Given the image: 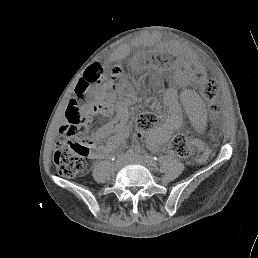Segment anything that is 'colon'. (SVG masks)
<instances>
[{"label": "colon", "mask_w": 258, "mask_h": 258, "mask_svg": "<svg viewBox=\"0 0 258 258\" xmlns=\"http://www.w3.org/2000/svg\"><path fill=\"white\" fill-rule=\"evenodd\" d=\"M103 72L100 64H92L79 81L75 98L67 107L66 123L60 127L62 140L57 143L53 155L57 170L63 177L71 178L81 173L86 167V158L100 143L99 133L89 128L81 107L87 89L101 79ZM218 92L217 82L213 78H206L202 84V95L211 117L219 109ZM156 124L157 119L151 113H142L136 118V129L140 134H147ZM168 151L176 156L187 157L193 153L194 145L188 137L177 135L169 141Z\"/></svg>", "instance_id": "obj_1"}]
</instances>
